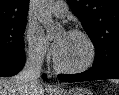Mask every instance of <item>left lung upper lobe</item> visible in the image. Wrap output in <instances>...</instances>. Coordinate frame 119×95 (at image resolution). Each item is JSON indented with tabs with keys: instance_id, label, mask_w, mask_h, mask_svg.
<instances>
[{
	"instance_id": "obj_1",
	"label": "left lung upper lobe",
	"mask_w": 119,
	"mask_h": 95,
	"mask_svg": "<svg viewBox=\"0 0 119 95\" xmlns=\"http://www.w3.org/2000/svg\"><path fill=\"white\" fill-rule=\"evenodd\" d=\"M95 46L92 68L104 70L119 60V0H68Z\"/></svg>"
}]
</instances>
